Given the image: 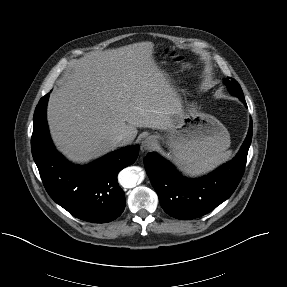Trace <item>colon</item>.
<instances>
[{
  "instance_id": "obj_1",
  "label": "colon",
  "mask_w": 287,
  "mask_h": 287,
  "mask_svg": "<svg viewBox=\"0 0 287 287\" xmlns=\"http://www.w3.org/2000/svg\"><path fill=\"white\" fill-rule=\"evenodd\" d=\"M177 60L181 61V58H180V57H177Z\"/></svg>"
}]
</instances>
